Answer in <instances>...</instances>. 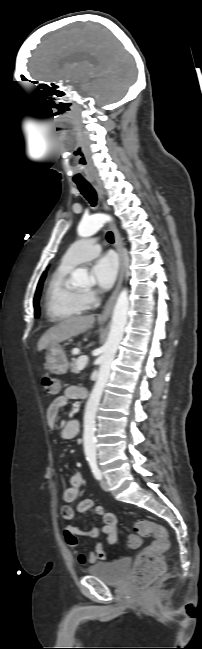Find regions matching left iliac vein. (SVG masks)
Listing matches in <instances>:
<instances>
[{
  "label": "left iliac vein",
  "mask_w": 202,
  "mask_h": 649,
  "mask_svg": "<svg viewBox=\"0 0 202 649\" xmlns=\"http://www.w3.org/2000/svg\"><path fill=\"white\" fill-rule=\"evenodd\" d=\"M100 486L104 491H109V485L105 479L100 480Z\"/></svg>",
  "instance_id": "1"
}]
</instances>
